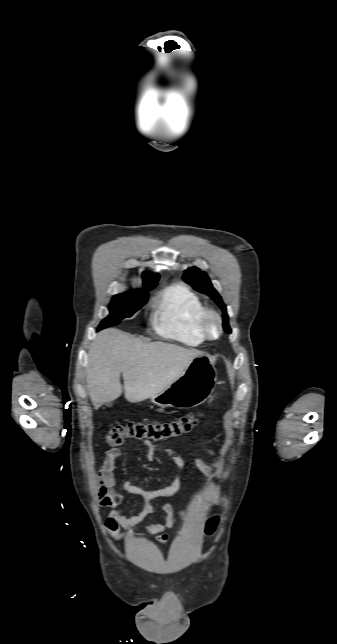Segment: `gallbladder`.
Returning <instances> with one entry per match:
<instances>
[{
  "instance_id": "obj_1",
  "label": "gallbladder",
  "mask_w": 337,
  "mask_h": 644,
  "mask_svg": "<svg viewBox=\"0 0 337 644\" xmlns=\"http://www.w3.org/2000/svg\"><path fill=\"white\" fill-rule=\"evenodd\" d=\"M106 405H107L108 407H111V406H112V403H111V402H108V403H106Z\"/></svg>"
}]
</instances>
